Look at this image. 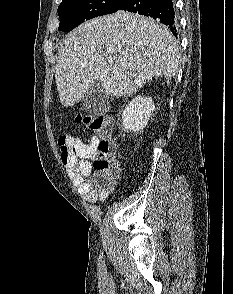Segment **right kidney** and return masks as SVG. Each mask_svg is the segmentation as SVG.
Segmentation results:
<instances>
[{
	"label": "right kidney",
	"instance_id": "right-kidney-1",
	"mask_svg": "<svg viewBox=\"0 0 233 294\" xmlns=\"http://www.w3.org/2000/svg\"><path fill=\"white\" fill-rule=\"evenodd\" d=\"M155 109L151 97L137 96L125 106L122 112L124 130L138 132L143 130Z\"/></svg>",
	"mask_w": 233,
	"mask_h": 294
}]
</instances>
